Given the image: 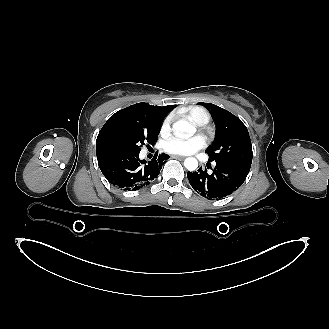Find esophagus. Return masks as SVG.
<instances>
[{
    "label": "esophagus",
    "instance_id": "obj_1",
    "mask_svg": "<svg viewBox=\"0 0 329 329\" xmlns=\"http://www.w3.org/2000/svg\"><path fill=\"white\" fill-rule=\"evenodd\" d=\"M172 157L173 158H178V159H184L185 158L184 156H179V155H173Z\"/></svg>",
    "mask_w": 329,
    "mask_h": 329
}]
</instances>
